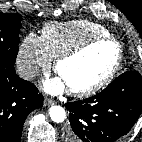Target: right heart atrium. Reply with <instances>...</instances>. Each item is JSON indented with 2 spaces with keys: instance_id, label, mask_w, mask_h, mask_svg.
Wrapping results in <instances>:
<instances>
[{
  "instance_id": "d8ad5b80",
  "label": "right heart atrium",
  "mask_w": 142,
  "mask_h": 142,
  "mask_svg": "<svg viewBox=\"0 0 142 142\" xmlns=\"http://www.w3.org/2000/svg\"><path fill=\"white\" fill-rule=\"evenodd\" d=\"M16 63L20 75L30 80L40 70H48L51 67L52 57L45 49L41 38L30 33L19 45Z\"/></svg>"
}]
</instances>
